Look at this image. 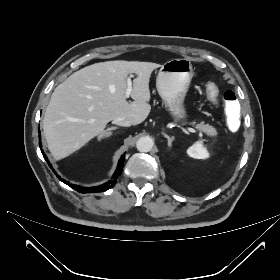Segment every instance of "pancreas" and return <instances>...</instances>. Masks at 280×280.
I'll use <instances>...</instances> for the list:
<instances>
[{"label": "pancreas", "mask_w": 280, "mask_h": 280, "mask_svg": "<svg viewBox=\"0 0 280 280\" xmlns=\"http://www.w3.org/2000/svg\"><path fill=\"white\" fill-rule=\"evenodd\" d=\"M196 128L199 129L200 131L204 132L208 136H216L217 135L216 129L209 124H204V122H201V123L197 124Z\"/></svg>", "instance_id": "cf45deb5"}]
</instances>
